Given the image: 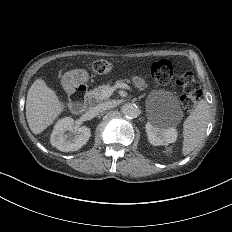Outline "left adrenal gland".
I'll use <instances>...</instances> for the list:
<instances>
[{"label": "left adrenal gland", "instance_id": "a2214340", "mask_svg": "<svg viewBox=\"0 0 232 232\" xmlns=\"http://www.w3.org/2000/svg\"><path fill=\"white\" fill-rule=\"evenodd\" d=\"M142 97H144V95H142V96L139 97V101L142 99Z\"/></svg>", "mask_w": 232, "mask_h": 232}]
</instances>
